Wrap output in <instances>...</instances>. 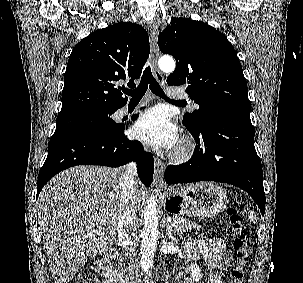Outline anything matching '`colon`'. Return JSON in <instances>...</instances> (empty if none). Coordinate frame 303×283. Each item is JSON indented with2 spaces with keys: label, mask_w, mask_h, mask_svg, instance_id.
I'll return each mask as SVG.
<instances>
[{
  "label": "colon",
  "mask_w": 303,
  "mask_h": 283,
  "mask_svg": "<svg viewBox=\"0 0 303 283\" xmlns=\"http://www.w3.org/2000/svg\"><path fill=\"white\" fill-rule=\"evenodd\" d=\"M227 226L233 235L232 246L235 252V265L231 270L228 283H244L252 245L247 236L245 223L235 207H230L228 210ZM75 283H90V278L86 275H81L76 279Z\"/></svg>",
  "instance_id": "obj_1"
}]
</instances>
